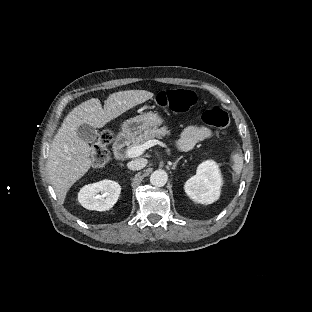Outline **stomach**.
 <instances>
[{"label":"stomach","mask_w":312,"mask_h":312,"mask_svg":"<svg viewBox=\"0 0 312 312\" xmlns=\"http://www.w3.org/2000/svg\"><path fill=\"white\" fill-rule=\"evenodd\" d=\"M166 122L165 118L157 112H147L126 120L120 129L121 135L133 139L141 132L152 127L161 126Z\"/></svg>","instance_id":"0dacf381"}]
</instances>
